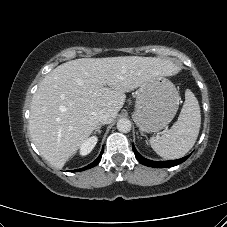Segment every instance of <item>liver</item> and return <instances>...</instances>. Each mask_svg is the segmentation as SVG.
Wrapping results in <instances>:
<instances>
[{
	"label": "liver",
	"instance_id": "obj_1",
	"mask_svg": "<svg viewBox=\"0 0 227 227\" xmlns=\"http://www.w3.org/2000/svg\"><path fill=\"white\" fill-rule=\"evenodd\" d=\"M175 65L161 58L121 56L81 58L57 66L40 83L30 108L29 130L40 154L62 168L99 124V112L117 113L126 92Z\"/></svg>",
	"mask_w": 227,
	"mask_h": 227
}]
</instances>
